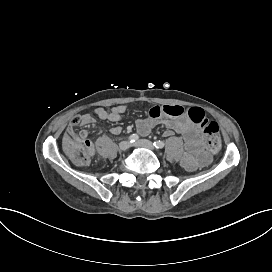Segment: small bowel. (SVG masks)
I'll return each mask as SVG.
<instances>
[{
    "label": "small bowel",
    "instance_id": "1",
    "mask_svg": "<svg viewBox=\"0 0 272 272\" xmlns=\"http://www.w3.org/2000/svg\"><path fill=\"white\" fill-rule=\"evenodd\" d=\"M126 110L125 105L114 106L109 111L103 107H97L94 109V114L100 120L118 122L122 119ZM189 111L184 110L183 107L178 105L154 106L149 110L146 118L136 121V126L141 135L149 134L157 124H162L167 128L164 133L165 136H170L173 133L181 134L185 145L181 164L187 171L192 172L205 164L207 155L200 148L202 136L199 129L190 120ZM96 123L97 120L94 116L84 113L72 119L66 128V132H70L76 136L75 126H91ZM121 130L120 126H114L110 129V132L118 135L121 133ZM87 135L86 131L79 133L80 137H87Z\"/></svg>",
    "mask_w": 272,
    "mask_h": 272
}]
</instances>
